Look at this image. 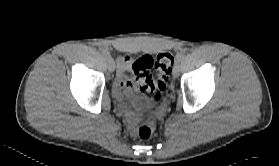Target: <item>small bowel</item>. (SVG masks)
<instances>
[{
  "mask_svg": "<svg viewBox=\"0 0 279 166\" xmlns=\"http://www.w3.org/2000/svg\"><path fill=\"white\" fill-rule=\"evenodd\" d=\"M133 59L129 56H118L116 58V77L114 80V92L117 94L131 93L137 90L136 84L128 73L132 72Z\"/></svg>",
  "mask_w": 279,
  "mask_h": 166,
  "instance_id": "1",
  "label": "small bowel"
}]
</instances>
